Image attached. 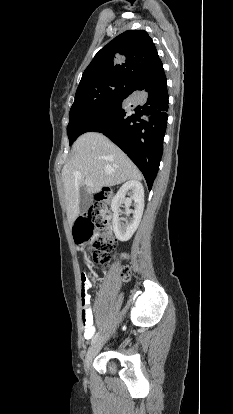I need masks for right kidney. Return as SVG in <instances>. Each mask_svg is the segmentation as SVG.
<instances>
[{
	"mask_svg": "<svg viewBox=\"0 0 233 414\" xmlns=\"http://www.w3.org/2000/svg\"><path fill=\"white\" fill-rule=\"evenodd\" d=\"M126 194L129 197H125ZM133 202L134 210L130 209ZM126 205V214H133L131 220L119 218L120 206ZM111 208L113 211V230L115 236L120 241L129 240L137 230L144 210V189L137 180H130L124 183L112 200Z\"/></svg>",
	"mask_w": 233,
	"mask_h": 414,
	"instance_id": "ca27d5eb",
	"label": "right kidney"
}]
</instances>
